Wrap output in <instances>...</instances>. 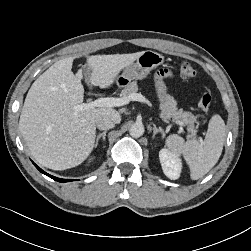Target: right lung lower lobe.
Masks as SVG:
<instances>
[{
	"label": "right lung lower lobe",
	"mask_w": 251,
	"mask_h": 251,
	"mask_svg": "<svg viewBox=\"0 0 251 251\" xmlns=\"http://www.w3.org/2000/svg\"><path fill=\"white\" fill-rule=\"evenodd\" d=\"M34 164V163H33ZM35 167L43 174L49 176L50 178L54 179L55 181H58V182H68V181H71L70 179H60V178H57V177H54V176H51L49 174H47L46 172H44L42 169H40L36 164H34Z\"/></svg>",
	"instance_id": "obj_1"
}]
</instances>
